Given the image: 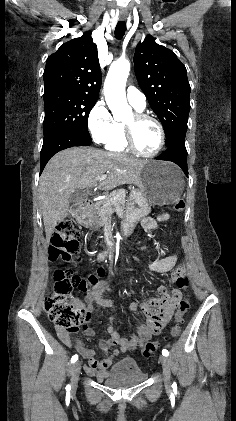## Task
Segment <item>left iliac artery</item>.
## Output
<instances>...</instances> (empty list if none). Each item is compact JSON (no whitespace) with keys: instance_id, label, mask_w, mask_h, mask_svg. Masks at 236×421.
<instances>
[{"instance_id":"obj_1","label":"left iliac artery","mask_w":236,"mask_h":421,"mask_svg":"<svg viewBox=\"0 0 236 421\" xmlns=\"http://www.w3.org/2000/svg\"><path fill=\"white\" fill-rule=\"evenodd\" d=\"M162 355H164V356H168V355H169L168 350L163 349V350H162Z\"/></svg>"}]
</instances>
